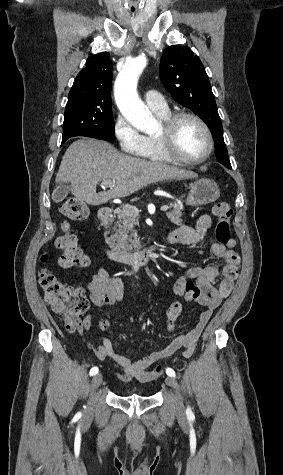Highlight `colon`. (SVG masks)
I'll use <instances>...</instances> for the list:
<instances>
[{"instance_id":"1","label":"colon","mask_w":283,"mask_h":475,"mask_svg":"<svg viewBox=\"0 0 283 475\" xmlns=\"http://www.w3.org/2000/svg\"><path fill=\"white\" fill-rule=\"evenodd\" d=\"M212 212L216 218L213 227L217 242L226 244L231 239L230 219L232 210L225 201H217L212 206ZM61 213L77 221L86 220L89 216V207L80 200L67 199L61 206ZM56 246L62 251L58 259L59 266L63 269H79L86 265V257L77 245L76 235L67 233L56 240ZM38 280L43 289L47 304L65 320V330L74 332L82 325V317L89 311V303L83 288L79 285L63 283L54 273L43 270L38 273ZM186 298L188 304L193 303L200 294V288L191 281L185 282ZM181 312V304L175 302L167 311V325L170 330H175Z\"/></svg>"}]
</instances>
